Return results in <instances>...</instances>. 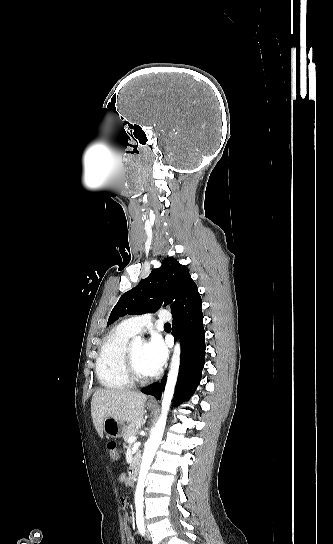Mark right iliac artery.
Returning <instances> with one entry per match:
<instances>
[{"mask_svg": "<svg viewBox=\"0 0 333 544\" xmlns=\"http://www.w3.org/2000/svg\"><path fill=\"white\" fill-rule=\"evenodd\" d=\"M137 528L142 536L145 535L144 517L142 512L136 513Z\"/></svg>", "mask_w": 333, "mask_h": 544, "instance_id": "right-iliac-artery-1", "label": "right iliac artery"}]
</instances>
